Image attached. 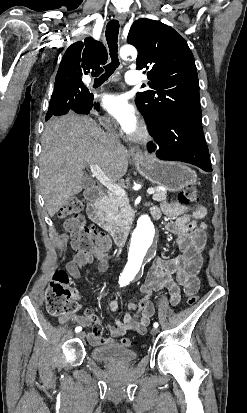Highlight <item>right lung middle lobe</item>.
<instances>
[{
	"instance_id": "dd1d6c3e",
	"label": "right lung middle lobe",
	"mask_w": 247,
	"mask_h": 413,
	"mask_svg": "<svg viewBox=\"0 0 247 413\" xmlns=\"http://www.w3.org/2000/svg\"><path fill=\"white\" fill-rule=\"evenodd\" d=\"M86 92H88V89L82 81L59 82L54 84V91L51 99L66 96H76L79 94H84Z\"/></svg>"
}]
</instances>
